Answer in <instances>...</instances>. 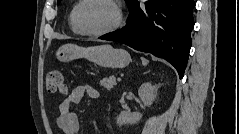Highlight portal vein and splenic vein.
Returning a JSON list of instances; mask_svg holds the SVG:
<instances>
[{
	"label": "portal vein and splenic vein",
	"mask_w": 239,
	"mask_h": 134,
	"mask_svg": "<svg viewBox=\"0 0 239 134\" xmlns=\"http://www.w3.org/2000/svg\"><path fill=\"white\" fill-rule=\"evenodd\" d=\"M117 80H118V81H121V78L119 77V78H117Z\"/></svg>",
	"instance_id": "18ae733b"
}]
</instances>
